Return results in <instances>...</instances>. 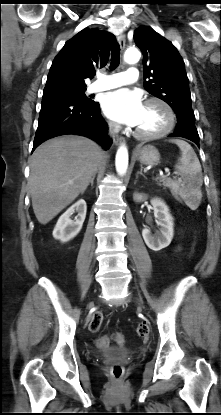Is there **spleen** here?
Masks as SVG:
<instances>
[{
  "label": "spleen",
  "mask_w": 221,
  "mask_h": 415,
  "mask_svg": "<svg viewBox=\"0 0 221 415\" xmlns=\"http://www.w3.org/2000/svg\"><path fill=\"white\" fill-rule=\"evenodd\" d=\"M170 142L175 143L181 151V157L175 165V170L181 176V180H170L169 186L181 196L190 208L196 209L202 198L201 186L203 183L199 159L186 141L172 139Z\"/></svg>",
  "instance_id": "spleen-1"
}]
</instances>
